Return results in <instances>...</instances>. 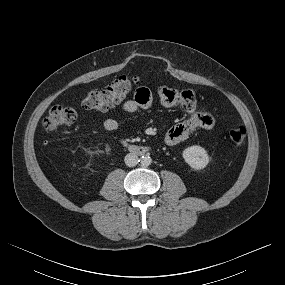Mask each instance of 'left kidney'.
Here are the masks:
<instances>
[{"instance_id":"obj_1","label":"left kidney","mask_w":285,"mask_h":285,"mask_svg":"<svg viewBox=\"0 0 285 285\" xmlns=\"http://www.w3.org/2000/svg\"><path fill=\"white\" fill-rule=\"evenodd\" d=\"M182 155L185 162L194 170H201L209 163V156L206 150L198 145L186 148Z\"/></svg>"}]
</instances>
